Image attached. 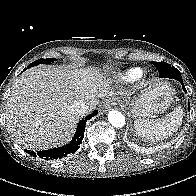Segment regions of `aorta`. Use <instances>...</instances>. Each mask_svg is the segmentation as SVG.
Wrapping results in <instances>:
<instances>
[{"instance_id":"762f6f07","label":"aorta","mask_w":196,"mask_h":196,"mask_svg":"<svg viewBox=\"0 0 196 196\" xmlns=\"http://www.w3.org/2000/svg\"><path fill=\"white\" fill-rule=\"evenodd\" d=\"M108 121L116 128H121L125 125L124 115L116 110H111L108 112Z\"/></svg>"}]
</instances>
